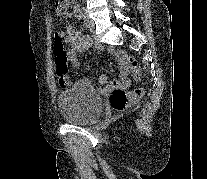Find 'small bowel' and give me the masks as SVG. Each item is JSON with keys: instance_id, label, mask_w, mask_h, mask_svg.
I'll return each mask as SVG.
<instances>
[{"instance_id": "1", "label": "small bowel", "mask_w": 207, "mask_h": 179, "mask_svg": "<svg viewBox=\"0 0 207 179\" xmlns=\"http://www.w3.org/2000/svg\"><path fill=\"white\" fill-rule=\"evenodd\" d=\"M72 14L66 11L62 16L63 19H70ZM54 38H59L68 43L72 49L67 52L68 59L73 67L79 66L77 58L78 53H84L88 51L90 47V39L83 37L80 31L76 28H69L68 30H58L54 34ZM114 59L119 69V80L108 81L104 74H101L98 78L99 90L102 93L109 92L111 89L122 86L128 87L130 85L129 68L126 63V54L122 50L112 49Z\"/></svg>"}]
</instances>
